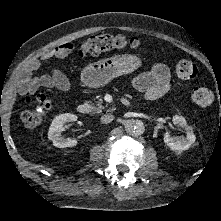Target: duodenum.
Returning <instances> with one entry per match:
<instances>
[{
  "label": "duodenum",
  "mask_w": 221,
  "mask_h": 221,
  "mask_svg": "<svg viewBox=\"0 0 221 221\" xmlns=\"http://www.w3.org/2000/svg\"><path fill=\"white\" fill-rule=\"evenodd\" d=\"M89 110H90V107L86 103L79 104L77 107V111L82 115L87 114L89 112Z\"/></svg>",
  "instance_id": "obj_1"
}]
</instances>
